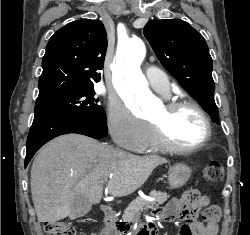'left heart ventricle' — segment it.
I'll return each instance as SVG.
<instances>
[{"label":"left heart ventricle","instance_id":"b2bd125f","mask_svg":"<svg viewBox=\"0 0 250 235\" xmlns=\"http://www.w3.org/2000/svg\"><path fill=\"white\" fill-rule=\"evenodd\" d=\"M165 119V109L161 108L149 120L161 122ZM169 138L178 145L191 146L204 136V124L201 116L192 108L185 107L175 111L166 122Z\"/></svg>","mask_w":250,"mask_h":235}]
</instances>
